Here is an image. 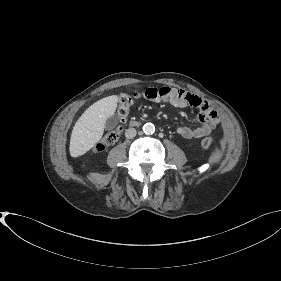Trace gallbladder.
<instances>
[{
	"label": "gallbladder",
	"mask_w": 281,
	"mask_h": 281,
	"mask_svg": "<svg viewBox=\"0 0 281 281\" xmlns=\"http://www.w3.org/2000/svg\"><path fill=\"white\" fill-rule=\"evenodd\" d=\"M118 122H119V118L116 115H113V116L107 118V120L105 122V129L111 130V129L115 128V126L118 124Z\"/></svg>",
	"instance_id": "1"
}]
</instances>
